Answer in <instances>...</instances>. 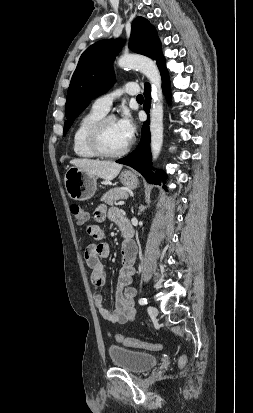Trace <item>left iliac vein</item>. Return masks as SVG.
<instances>
[{"label":"left iliac vein","mask_w":253,"mask_h":413,"mask_svg":"<svg viewBox=\"0 0 253 413\" xmlns=\"http://www.w3.org/2000/svg\"><path fill=\"white\" fill-rule=\"evenodd\" d=\"M148 312L152 317H156L158 315V310L154 306H148Z\"/></svg>","instance_id":"left-iliac-vein-1"}]
</instances>
